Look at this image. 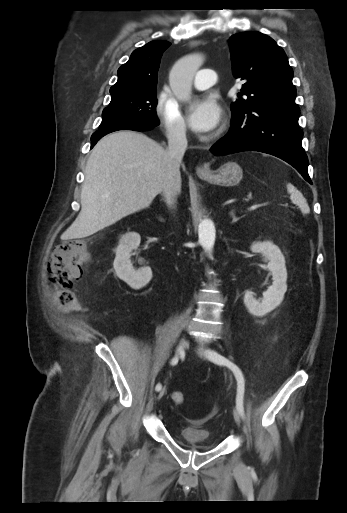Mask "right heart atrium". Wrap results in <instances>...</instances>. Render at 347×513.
I'll return each instance as SVG.
<instances>
[{
    "label": "right heart atrium",
    "instance_id": "d8ad5b80",
    "mask_svg": "<svg viewBox=\"0 0 347 513\" xmlns=\"http://www.w3.org/2000/svg\"><path fill=\"white\" fill-rule=\"evenodd\" d=\"M155 114L166 136L171 141L181 142L186 139L187 126L185 119L167 87H163L157 94Z\"/></svg>",
    "mask_w": 347,
    "mask_h": 513
}]
</instances>
